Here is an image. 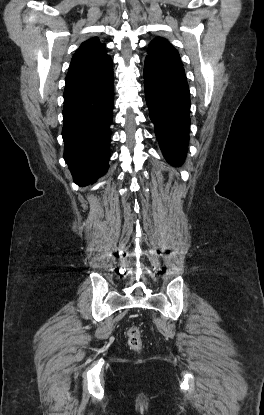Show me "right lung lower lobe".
Masks as SVG:
<instances>
[{
    "label": "right lung lower lobe",
    "instance_id": "obj_1",
    "mask_svg": "<svg viewBox=\"0 0 264 415\" xmlns=\"http://www.w3.org/2000/svg\"><path fill=\"white\" fill-rule=\"evenodd\" d=\"M114 73L66 84L64 90V159L79 186L95 183L108 170L109 131L114 105Z\"/></svg>",
    "mask_w": 264,
    "mask_h": 415
}]
</instances>
